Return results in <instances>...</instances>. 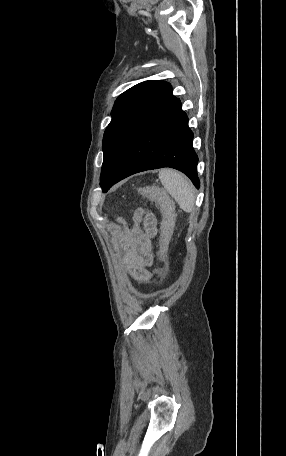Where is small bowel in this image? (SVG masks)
<instances>
[{
	"mask_svg": "<svg viewBox=\"0 0 286 456\" xmlns=\"http://www.w3.org/2000/svg\"><path fill=\"white\" fill-rule=\"evenodd\" d=\"M135 225L126 228L119 236L118 260L123 272L138 283L152 278L148 268L153 264L152 239L157 233V219L154 214L142 210L135 212Z\"/></svg>",
	"mask_w": 286,
	"mask_h": 456,
	"instance_id": "small-bowel-1",
	"label": "small bowel"
}]
</instances>
